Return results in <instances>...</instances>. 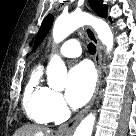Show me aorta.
Here are the masks:
<instances>
[{
    "label": "aorta",
    "mask_w": 136,
    "mask_h": 136,
    "mask_svg": "<svg viewBox=\"0 0 136 136\" xmlns=\"http://www.w3.org/2000/svg\"><path fill=\"white\" fill-rule=\"evenodd\" d=\"M84 25H91L94 28L98 38L106 46L107 52L112 50L114 37L109 25L104 20L81 11L62 15L56 19L53 27L54 42L60 43L73 31ZM66 75L67 69L62 59L57 55L53 56L47 67L49 87L62 91L65 87ZM94 123L95 115L89 114L81 121L73 136H91Z\"/></svg>",
    "instance_id": "762f6f07"
}]
</instances>
